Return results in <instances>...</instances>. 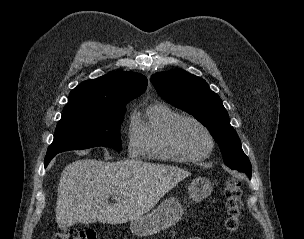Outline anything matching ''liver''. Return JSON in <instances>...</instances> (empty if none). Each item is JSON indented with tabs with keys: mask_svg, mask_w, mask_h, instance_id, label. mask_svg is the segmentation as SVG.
I'll return each mask as SVG.
<instances>
[{
	"mask_svg": "<svg viewBox=\"0 0 304 239\" xmlns=\"http://www.w3.org/2000/svg\"><path fill=\"white\" fill-rule=\"evenodd\" d=\"M191 173L171 165L128 159L104 162L82 159L61 173L56 222L61 229L76 223L123 224L149 212ZM114 195L116 202L109 204Z\"/></svg>",
	"mask_w": 304,
	"mask_h": 239,
	"instance_id": "liver-1",
	"label": "liver"
}]
</instances>
